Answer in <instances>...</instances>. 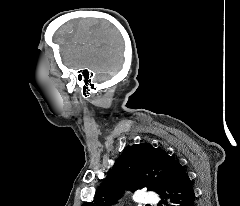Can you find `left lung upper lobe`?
<instances>
[{"instance_id": "5c2ea615", "label": "left lung upper lobe", "mask_w": 240, "mask_h": 206, "mask_svg": "<svg viewBox=\"0 0 240 206\" xmlns=\"http://www.w3.org/2000/svg\"><path fill=\"white\" fill-rule=\"evenodd\" d=\"M176 161L164 150L148 143L127 146L99 186L93 201L82 206H110L122 197L125 189L136 191L146 187L161 195Z\"/></svg>"}]
</instances>
